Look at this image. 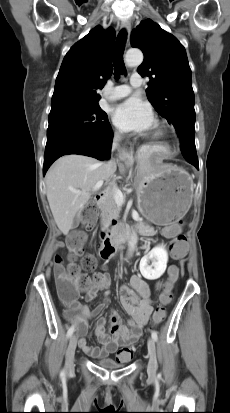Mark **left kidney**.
Masks as SVG:
<instances>
[{
	"label": "left kidney",
	"instance_id": "5707ae66",
	"mask_svg": "<svg viewBox=\"0 0 230 413\" xmlns=\"http://www.w3.org/2000/svg\"><path fill=\"white\" fill-rule=\"evenodd\" d=\"M152 261V266L148 265ZM168 262V253L166 249L159 245L154 247L147 255L140 261V272L142 276L148 280H156L160 278L166 270Z\"/></svg>",
	"mask_w": 230,
	"mask_h": 413
}]
</instances>
